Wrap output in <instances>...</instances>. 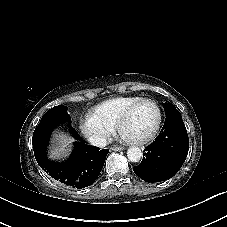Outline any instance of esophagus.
<instances>
[{
	"instance_id": "1",
	"label": "esophagus",
	"mask_w": 227,
	"mask_h": 227,
	"mask_svg": "<svg viewBox=\"0 0 227 227\" xmlns=\"http://www.w3.org/2000/svg\"><path fill=\"white\" fill-rule=\"evenodd\" d=\"M111 149L113 150V151H120V150H124L125 149V147L124 146H112L111 147Z\"/></svg>"
}]
</instances>
